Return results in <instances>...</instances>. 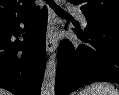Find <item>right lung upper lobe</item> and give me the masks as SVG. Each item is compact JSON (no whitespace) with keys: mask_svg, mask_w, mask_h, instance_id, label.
Listing matches in <instances>:
<instances>
[{"mask_svg":"<svg viewBox=\"0 0 119 95\" xmlns=\"http://www.w3.org/2000/svg\"><path fill=\"white\" fill-rule=\"evenodd\" d=\"M35 0H0V29L30 18Z\"/></svg>","mask_w":119,"mask_h":95,"instance_id":"cb5924a9","label":"right lung upper lobe"}]
</instances>
